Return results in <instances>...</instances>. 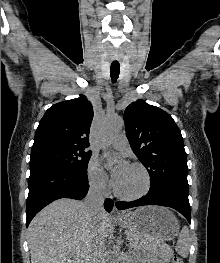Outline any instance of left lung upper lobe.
<instances>
[{"instance_id": "obj_1", "label": "left lung upper lobe", "mask_w": 220, "mask_h": 263, "mask_svg": "<svg viewBox=\"0 0 220 263\" xmlns=\"http://www.w3.org/2000/svg\"><path fill=\"white\" fill-rule=\"evenodd\" d=\"M124 121L130 146L150 175V190L172 187L188 193L186 152L173 118L137 100L125 109Z\"/></svg>"}]
</instances>
